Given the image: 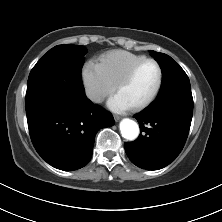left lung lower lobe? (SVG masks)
<instances>
[{
  "mask_svg": "<svg viewBox=\"0 0 222 222\" xmlns=\"http://www.w3.org/2000/svg\"><path fill=\"white\" fill-rule=\"evenodd\" d=\"M192 114V93L170 92L134 115L144 133L125 143L130 161L147 170H158L174 161L186 142Z\"/></svg>",
  "mask_w": 222,
  "mask_h": 222,
  "instance_id": "obj_1",
  "label": "left lung lower lobe"
}]
</instances>
